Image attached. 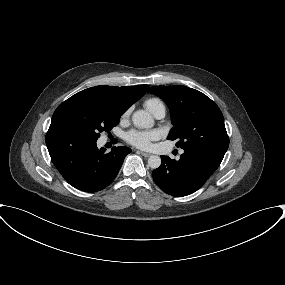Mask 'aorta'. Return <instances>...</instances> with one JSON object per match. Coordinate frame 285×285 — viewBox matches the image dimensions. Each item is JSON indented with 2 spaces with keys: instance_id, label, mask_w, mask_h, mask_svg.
I'll use <instances>...</instances> for the list:
<instances>
[{
  "instance_id": "762f6f07",
  "label": "aorta",
  "mask_w": 285,
  "mask_h": 285,
  "mask_svg": "<svg viewBox=\"0 0 285 285\" xmlns=\"http://www.w3.org/2000/svg\"><path fill=\"white\" fill-rule=\"evenodd\" d=\"M132 121L133 124L137 128L145 129V128H151L154 125V119L152 116L144 111V110H138L135 111L132 115ZM161 165V158L157 155H151L148 158V166L152 169H157Z\"/></svg>"
}]
</instances>
